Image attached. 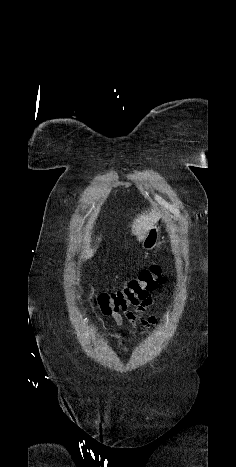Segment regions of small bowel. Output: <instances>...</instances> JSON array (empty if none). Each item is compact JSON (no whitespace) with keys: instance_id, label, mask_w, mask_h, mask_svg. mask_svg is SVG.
<instances>
[{"instance_id":"obj_1","label":"small bowel","mask_w":236,"mask_h":467,"mask_svg":"<svg viewBox=\"0 0 236 467\" xmlns=\"http://www.w3.org/2000/svg\"><path fill=\"white\" fill-rule=\"evenodd\" d=\"M152 304V298L148 297L142 301L135 310L126 309L123 311L125 317L141 332L147 333L149 328L155 324V317L144 315L147 308ZM112 319L117 325H121L123 317L121 313H112Z\"/></svg>"}]
</instances>
